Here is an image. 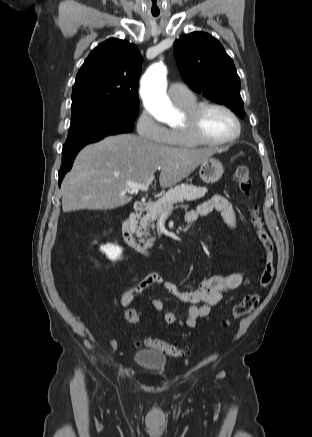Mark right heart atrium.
Returning <instances> with one entry per match:
<instances>
[{
    "label": "right heart atrium",
    "instance_id": "obj_1",
    "mask_svg": "<svg viewBox=\"0 0 312 437\" xmlns=\"http://www.w3.org/2000/svg\"><path fill=\"white\" fill-rule=\"evenodd\" d=\"M136 129L141 138L150 142L165 144L169 138V130L147 110L140 113Z\"/></svg>",
    "mask_w": 312,
    "mask_h": 437
}]
</instances>
